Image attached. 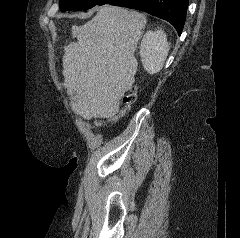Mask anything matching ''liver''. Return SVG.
<instances>
[{"instance_id": "6515ba94", "label": "liver", "mask_w": 240, "mask_h": 238, "mask_svg": "<svg viewBox=\"0 0 240 238\" xmlns=\"http://www.w3.org/2000/svg\"><path fill=\"white\" fill-rule=\"evenodd\" d=\"M145 15L104 5L81 26H72L77 42L64 48L63 86L72 110L84 119L111 118L135 81L134 56Z\"/></svg>"}]
</instances>
